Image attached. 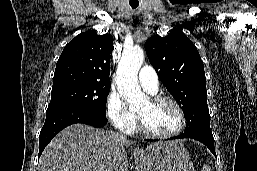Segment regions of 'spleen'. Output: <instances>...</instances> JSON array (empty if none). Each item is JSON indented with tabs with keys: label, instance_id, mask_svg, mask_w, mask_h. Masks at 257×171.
Returning <instances> with one entry per match:
<instances>
[{
	"label": "spleen",
	"instance_id": "spleen-1",
	"mask_svg": "<svg viewBox=\"0 0 257 171\" xmlns=\"http://www.w3.org/2000/svg\"><path fill=\"white\" fill-rule=\"evenodd\" d=\"M201 171H212L209 165H204Z\"/></svg>",
	"mask_w": 257,
	"mask_h": 171
}]
</instances>
